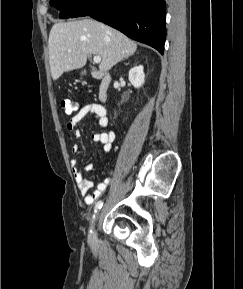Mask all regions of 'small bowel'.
Wrapping results in <instances>:
<instances>
[{
	"label": "small bowel",
	"mask_w": 243,
	"mask_h": 289,
	"mask_svg": "<svg viewBox=\"0 0 243 289\" xmlns=\"http://www.w3.org/2000/svg\"><path fill=\"white\" fill-rule=\"evenodd\" d=\"M89 115H92L97 120L98 125L101 128H106L108 126L109 121L105 108L97 103L86 104L81 107L77 114L74 115L67 123V128L74 133L76 138L80 137V122ZM115 138L116 134L114 131L99 132L92 135L93 141L100 143L102 145L103 151L106 153L112 150ZM78 151L79 146L77 144L73 145L72 152L77 153ZM70 163L73 176L75 178L78 190L83 197L84 203L87 205H92L106 191L108 184L111 182V178L108 177L104 181L99 182L93 189V182L83 177L82 172L78 167L77 161L72 159ZM93 170L94 164L89 163L85 165V171L92 172Z\"/></svg>",
	"instance_id": "small-bowel-1"
}]
</instances>
